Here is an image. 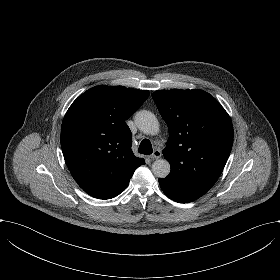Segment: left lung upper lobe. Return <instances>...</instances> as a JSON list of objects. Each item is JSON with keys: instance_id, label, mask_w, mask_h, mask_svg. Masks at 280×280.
<instances>
[{"instance_id": "obj_1", "label": "left lung upper lobe", "mask_w": 280, "mask_h": 280, "mask_svg": "<svg viewBox=\"0 0 280 280\" xmlns=\"http://www.w3.org/2000/svg\"><path fill=\"white\" fill-rule=\"evenodd\" d=\"M152 98L169 130L163 155L171 171L163 179L179 190H209L232 149L231 118L203 90H159Z\"/></svg>"}]
</instances>
